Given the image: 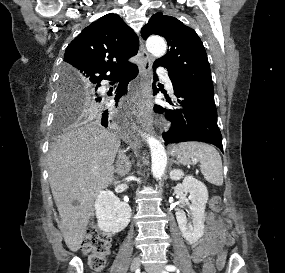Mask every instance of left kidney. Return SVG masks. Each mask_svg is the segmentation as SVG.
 Masks as SVG:
<instances>
[{"label": "left kidney", "mask_w": 285, "mask_h": 273, "mask_svg": "<svg viewBox=\"0 0 285 273\" xmlns=\"http://www.w3.org/2000/svg\"><path fill=\"white\" fill-rule=\"evenodd\" d=\"M184 177V173L179 169L170 172L171 180L178 181ZM183 194L180 197L182 204L187 203L186 194H190L191 204L189 205L192 223L188 222L185 212L178 209L176 219L182 232V236L190 244L198 242L204 234V213L208 200V191L206 186L192 176L184 177L182 183Z\"/></svg>", "instance_id": "5707ae66"}]
</instances>
